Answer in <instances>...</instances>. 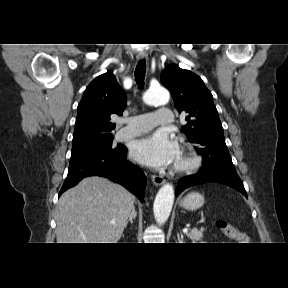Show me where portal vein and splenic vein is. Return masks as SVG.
Wrapping results in <instances>:
<instances>
[{"label":"portal vein and splenic vein","instance_id":"1","mask_svg":"<svg viewBox=\"0 0 288 288\" xmlns=\"http://www.w3.org/2000/svg\"><path fill=\"white\" fill-rule=\"evenodd\" d=\"M183 233H185V234L188 233V229H187V228H184V229H183Z\"/></svg>","mask_w":288,"mask_h":288}]
</instances>
